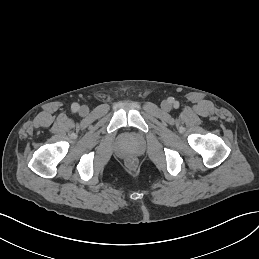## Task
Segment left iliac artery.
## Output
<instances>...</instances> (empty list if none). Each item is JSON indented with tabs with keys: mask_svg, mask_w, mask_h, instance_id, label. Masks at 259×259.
Segmentation results:
<instances>
[{
	"mask_svg": "<svg viewBox=\"0 0 259 259\" xmlns=\"http://www.w3.org/2000/svg\"><path fill=\"white\" fill-rule=\"evenodd\" d=\"M178 106H179V103L176 102V103L174 104V107H175V108H178Z\"/></svg>",
	"mask_w": 259,
	"mask_h": 259,
	"instance_id": "1",
	"label": "left iliac artery"
}]
</instances>
